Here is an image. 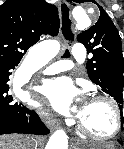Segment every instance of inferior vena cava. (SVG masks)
<instances>
[{
	"instance_id": "inferior-vena-cava-1",
	"label": "inferior vena cava",
	"mask_w": 124,
	"mask_h": 149,
	"mask_svg": "<svg viewBox=\"0 0 124 149\" xmlns=\"http://www.w3.org/2000/svg\"><path fill=\"white\" fill-rule=\"evenodd\" d=\"M37 142H38V139H31V145L33 146H30V149H35V147H37Z\"/></svg>"
}]
</instances>
